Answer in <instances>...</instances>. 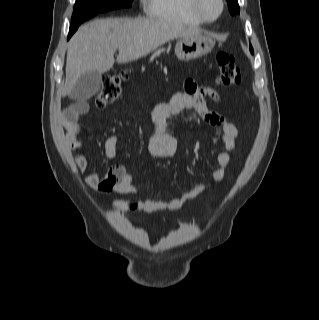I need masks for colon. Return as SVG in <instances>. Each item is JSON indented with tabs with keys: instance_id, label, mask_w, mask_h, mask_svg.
<instances>
[{
	"instance_id": "obj_1",
	"label": "colon",
	"mask_w": 319,
	"mask_h": 320,
	"mask_svg": "<svg viewBox=\"0 0 319 320\" xmlns=\"http://www.w3.org/2000/svg\"><path fill=\"white\" fill-rule=\"evenodd\" d=\"M216 62L219 67L218 83L223 86L236 85L241 81V74L235 64L233 56L226 52L220 51L216 55ZM128 80L126 71H118L104 77L102 87L97 97V104L105 106L111 104L118 99L122 92L124 84ZM120 165L113 166V171H121ZM135 209V205H131Z\"/></svg>"
}]
</instances>
